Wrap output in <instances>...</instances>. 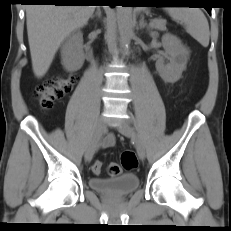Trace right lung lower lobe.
<instances>
[{"label": "right lung lower lobe", "instance_id": "obj_1", "mask_svg": "<svg viewBox=\"0 0 231 231\" xmlns=\"http://www.w3.org/2000/svg\"><path fill=\"white\" fill-rule=\"evenodd\" d=\"M24 2L28 3H51L54 5H79L76 2V0H23ZM113 7V5H110Z\"/></svg>", "mask_w": 231, "mask_h": 231}]
</instances>
